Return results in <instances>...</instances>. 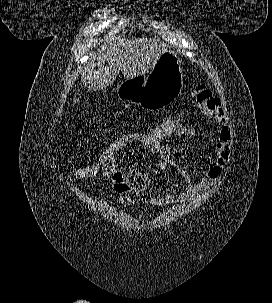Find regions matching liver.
Masks as SVG:
<instances>
[{"instance_id":"liver-1","label":"liver","mask_w":272,"mask_h":303,"mask_svg":"<svg viewBox=\"0 0 272 303\" xmlns=\"http://www.w3.org/2000/svg\"><path fill=\"white\" fill-rule=\"evenodd\" d=\"M167 50L163 41L155 39L110 37L83 66L81 81L90 90L100 91L113 83L120 72L126 79L145 75Z\"/></svg>"}]
</instances>
